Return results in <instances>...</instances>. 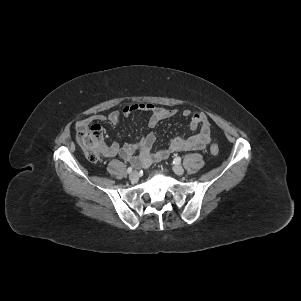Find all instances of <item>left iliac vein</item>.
I'll list each match as a JSON object with an SVG mask.
<instances>
[{"mask_svg": "<svg viewBox=\"0 0 301 301\" xmlns=\"http://www.w3.org/2000/svg\"><path fill=\"white\" fill-rule=\"evenodd\" d=\"M173 171H174L175 174L180 175V176L183 175L184 172H185L183 167L180 166V165H174L173 166Z\"/></svg>", "mask_w": 301, "mask_h": 301, "instance_id": "4c4485c4", "label": "left iliac vein"}]
</instances>
